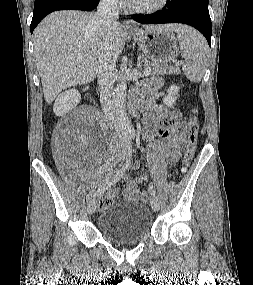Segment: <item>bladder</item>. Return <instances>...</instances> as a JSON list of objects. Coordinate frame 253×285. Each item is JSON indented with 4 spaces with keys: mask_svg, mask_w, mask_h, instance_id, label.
<instances>
[{
    "mask_svg": "<svg viewBox=\"0 0 253 285\" xmlns=\"http://www.w3.org/2000/svg\"><path fill=\"white\" fill-rule=\"evenodd\" d=\"M150 210L138 201L118 202L105 207L98 218L100 232L107 239L128 243L143 239L151 230Z\"/></svg>",
    "mask_w": 253,
    "mask_h": 285,
    "instance_id": "obj_1",
    "label": "bladder"
}]
</instances>
